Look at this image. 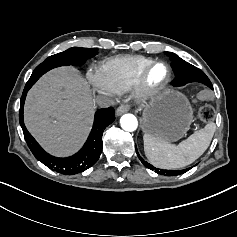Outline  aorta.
Instances as JSON below:
<instances>
[{
    "label": "aorta",
    "mask_w": 237,
    "mask_h": 237,
    "mask_svg": "<svg viewBox=\"0 0 237 237\" xmlns=\"http://www.w3.org/2000/svg\"><path fill=\"white\" fill-rule=\"evenodd\" d=\"M120 125L123 130L132 132L137 129L138 121H137V118L133 114H124L120 118Z\"/></svg>",
    "instance_id": "obj_1"
}]
</instances>
